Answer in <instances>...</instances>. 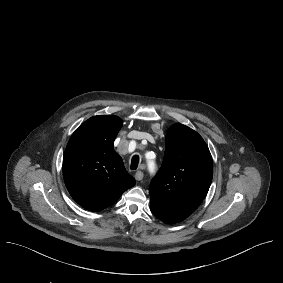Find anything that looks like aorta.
Segmentation results:
<instances>
[{
  "label": "aorta",
  "instance_id": "aorta-1",
  "mask_svg": "<svg viewBox=\"0 0 283 283\" xmlns=\"http://www.w3.org/2000/svg\"><path fill=\"white\" fill-rule=\"evenodd\" d=\"M146 157L149 158L150 157V153H147ZM147 165H148V170L150 172H153L155 170V163L153 161L149 160Z\"/></svg>",
  "mask_w": 283,
  "mask_h": 283
}]
</instances>
